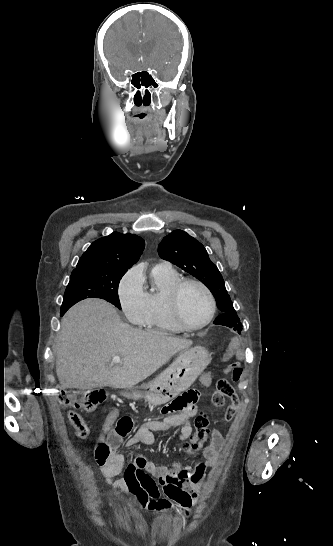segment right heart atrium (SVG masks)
Masks as SVG:
<instances>
[{
	"label": "right heart atrium",
	"mask_w": 333,
	"mask_h": 546,
	"mask_svg": "<svg viewBox=\"0 0 333 546\" xmlns=\"http://www.w3.org/2000/svg\"><path fill=\"white\" fill-rule=\"evenodd\" d=\"M117 296L125 318L133 324H141L146 312V302L142 277L135 268L130 269L120 280Z\"/></svg>",
	"instance_id": "obj_1"
}]
</instances>
